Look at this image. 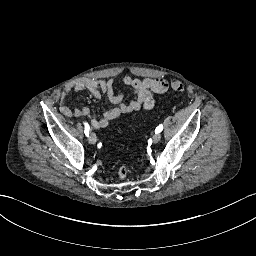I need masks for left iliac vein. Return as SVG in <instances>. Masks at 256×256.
Listing matches in <instances>:
<instances>
[{"label":"left iliac vein","mask_w":256,"mask_h":256,"mask_svg":"<svg viewBox=\"0 0 256 256\" xmlns=\"http://www.w3.org/2000/svg\"><path fill=\"white\" fill-rule=\"evenodd\" d=\"M161 140V135L159 134V133H155L154 135H153V141L155 142V143H157V142H159Z\"/></svg>","instance_id":"4c4485c4"}]
</instances>
